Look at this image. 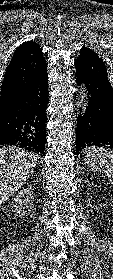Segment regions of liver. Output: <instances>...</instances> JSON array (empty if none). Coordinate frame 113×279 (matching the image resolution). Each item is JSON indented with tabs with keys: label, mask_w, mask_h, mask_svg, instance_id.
<instances>
[{
	"label": "liver",
	"mask_w": 113,
	"mask_h": 279,
	"mask_svg": "<svg viewBox=\"0 0 113 279\" xmlns=\"http://www.w3.org/2000/svg\"><path fill=\"white\" fill-rule=\"evenodd\" d=\"M37 160V154L19 147L0 148V205L31 176Z\"/></svg>",
	"instance_id": "1"
}]
</instances>
